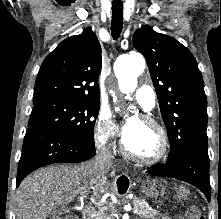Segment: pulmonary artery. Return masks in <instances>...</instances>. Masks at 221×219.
<instances>
[{"instance_id":"e3ab8cb5","label":"pulmonary artery","mask_w":221,"mask_h":219,"mask_svg":"<svg viewBox=\"0 0 221 219\" xmlns=\"http://www.w3.org/2000/svg\"><path fill=\"white\" fill-rule=\"evenodd\" d=\"M135 98L145 110H152L156 104L154 91L149 86H141L135 92Z\"/></svg>"}]
</instances>
